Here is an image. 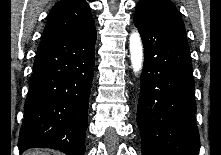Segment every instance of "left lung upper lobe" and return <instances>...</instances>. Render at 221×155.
I'll use <instances>...</instances> for the list:
<instances>
[{"mask_svg":"<svg viewBox=\"0 0 221 155\" xmlns=\"http://www.w3.org/2000/svg\"><path fill=\"white\" fill-rule=\"evenodd\" d=\"M137 6L147 9L164 20L184 26L175 5L170 0H140Z\"/></svg>","mask_w":221,"mask_h":155,"instance_id":"left-lung-upper-lobe-1","label":"left lung upper lobe"}]
</instances>
